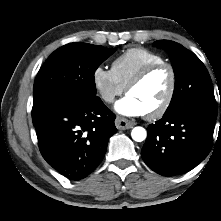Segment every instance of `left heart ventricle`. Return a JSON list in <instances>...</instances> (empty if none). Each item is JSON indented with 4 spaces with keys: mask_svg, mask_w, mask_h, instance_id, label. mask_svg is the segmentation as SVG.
Returning <instances> with one entry per match:
<instances>
[{
    "mask_svg": "<svg viewBox=\"0 0 221 221\" xmlns=\"http://www.w3.org/2000/svg\"><path fill=\"white\" fill-rule=\"evenodd\" d=\"M169 85V70L160 68L150 74L142 83L132 88L128 94L135 97L148 113L162 103L168 92Z\"/></svg>",
    "mask_w": 221,
    "mask_h": 221,
    "instance_id": "left-heart-ventricle-1",
    "label": "left heart ventricle"
}]
</instances>
